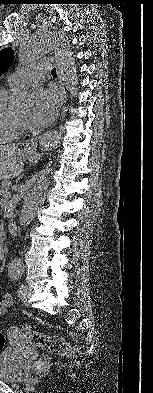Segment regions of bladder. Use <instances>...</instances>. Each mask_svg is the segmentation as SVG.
Returning <instances> with one entry per match:
<instances>
[{
  "mask_svg": "<svg viewBox=\"0 0 153 393\" xmlns=\"http://www.w3.org/2000/svg\"><path fill=\"white\" fill-rule=\"evenodd\" d=\"M23 369L16 361V352L12 348L0 351V380L19 383Z\"/></svg>",
  "mask_w": 153,
  "mask_h": 393,
  "instance_id": "bladder-1",
  "label": "bladder"
}]
</instances>
